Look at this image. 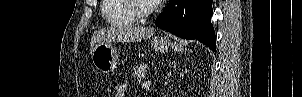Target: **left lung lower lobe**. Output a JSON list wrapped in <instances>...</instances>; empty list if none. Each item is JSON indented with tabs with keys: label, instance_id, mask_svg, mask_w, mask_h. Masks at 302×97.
<instances>
[{
	"label": "left lung lower lobe",
	"instance_id": "obj_1",
	"mask_svg": "<svg viewBox=\"0 0 302 97\" xmlns=\"http://www.w3.org/2000/svg\"><path fill=\"white\" fill-rule=\"evenodd\" d=\"M212 14V0H170L167 9L156 19L155 24L181 38L196 39L215 51Z\"/></svg>",
	"mask_w": 302,
	"mask_h": 97
}]
</instances>
